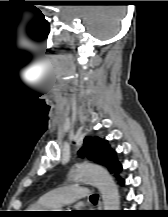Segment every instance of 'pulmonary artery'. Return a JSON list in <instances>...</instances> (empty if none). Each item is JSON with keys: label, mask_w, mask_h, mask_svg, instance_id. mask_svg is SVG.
Returning <instances> with one entry per match:
<instances>
[{"label": "pulmonary artery", "mask_w": 168, "mask_h": 217, "mask_svg": "<svg viewBox=\"0 0 168 217\" xmlns=\"http://www.w3.org/2000/svg\"><path fill=\"white\" fill-rule=\"evenodd\" d=\"M88 188L79 185H68L44 193L40 200L50 209H58L75 201L88 198Z\"/></svg>", "instance_id": "e3ab8cb5"}]
</instances>
